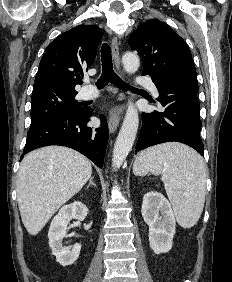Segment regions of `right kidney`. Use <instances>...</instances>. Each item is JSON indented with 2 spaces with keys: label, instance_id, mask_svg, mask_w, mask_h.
Returning a JSON list of instances; mask_svg holds the SVG:
<instances>
[{
  "label": "right kidney",
  "instance_id": "obj_1",
  "mask_svg": "<svg viewBox=\"0 0 232 282\" xmlns=\"http://www.w3.org/2000/svg\"><path fill=\"white\" fill-rule=\"evenodd\" d=\"M88 214V208L83 203L76 201L63 206L59 213L53 218L48 238L49 245L56 261L62 266L73 264L79 257L81 244L76 243L72 249H67L62 245V240L66 235L67 226L71 219L83 221Z\"/></svg>",
  "mask_w": 232,
  "mask_h": 282
}]
</instances>
